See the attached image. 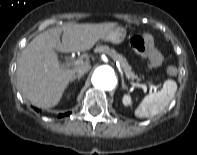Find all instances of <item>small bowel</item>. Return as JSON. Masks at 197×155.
Instances as JSON below:
<instances>
[{"label": "small bowel", "mask_w": 197, "mask_h": 155, "mask_svg": "<svg viewBox=\"0 0 197 155\" xmlns=\"http://www.w3.org/2000/svg\"><path fill=\"white\" fill-rule=\"evenodd\" d=\"M146 38H147V40L151 41V38L149 36H147Z\"/></svg>", "instance_id": "1"}]
</instances>
